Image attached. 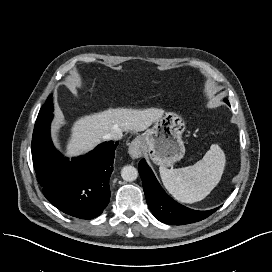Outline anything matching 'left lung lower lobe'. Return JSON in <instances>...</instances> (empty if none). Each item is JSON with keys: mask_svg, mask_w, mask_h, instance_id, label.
I'll use <instances>...</instances> for the list:
<instances>
[{"mask_svg": "<svg viewBox=\"0 0 272 272\" xmlns=\"http://www.w3.org/2000/svg\"><path fill=\"white\" fill-rule=\"evenodd\" d=\"M138 168L148 206L159 221L174 225L190 224L207 218L218 209L197 211L177 203L161 188L145 159L139 162Z\"/></svg>", "mask_w": 272, "mask_h": 272, "instance_id": "obj_1", "label": "left lung lower lobe"}]
</instances>
